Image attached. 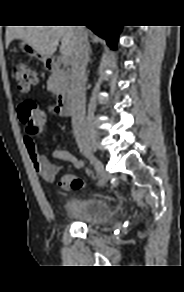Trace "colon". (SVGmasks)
<instances>
[{"label": "colon", "mask_w": 184, "mask_h": 292, "mask_svg": "<svg viewBox=\"0 0 184 292\" xmlns=\"http://www.w3.org/2000/svg\"><path fill=\"white\" fill-rule=\"evenodd\" d=\"M11 71L17 88L21 92H28L37 81V72L26 62H14ZM18 116L26 128L27 134L35 137L42 132L45 125V115L33 101L27 100L21 103L18 107ZM67 184L73 190L81 189L84 186V182L74 176L67 177Z\"/></svg>", "instance_id": "colon-1"}]
</instances>
